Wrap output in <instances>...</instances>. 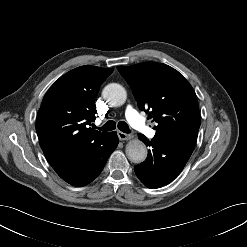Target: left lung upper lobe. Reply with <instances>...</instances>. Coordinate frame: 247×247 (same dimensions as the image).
Returning a JSON list of instances; mask_svg holds the SVG:
<instances>
[{"label": "left lung upper lobe", "instance_id": "left-lung-upper-lobe-1", "mask_svg": "<svg viewBox=\"0 0 247 247\" xmlns=\"http://www.w3.org/2000/svg\"><path fill=\"white\" fill-rule=\"evenodd\" d=\"M117 69L131 86L139 108L157 122L154 137L196 143L200 127L197 97L182 74L156 62Z\"/></svg>", "mask_w": 247, "mask_h": 247}]
</instances>
